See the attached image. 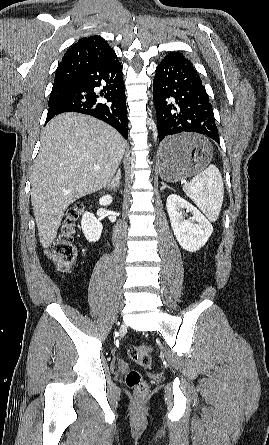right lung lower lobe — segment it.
Listing matches in <instances>:
<instances>
[{
	"label": "right lung lower lobe",
	"mask_w": 269,
	"mask_h": 445,
	"mask_svg": "<svg viewBox=\"0 0 269 445\" xmlns=\"http://www.w3.org/2000/svg\"><path fill=\"white\" fill-rule=\"evenodd\" d=\"M100 86L102 92H94ZM64 87V96L49 103L46 123L60 113L78 112L103 120L128 138L125 88L117 56L83 71ZM100 97L107 103L100 102Z\"/></svg>",
	"instance_id": "98d812e1"
}]
</instances>
